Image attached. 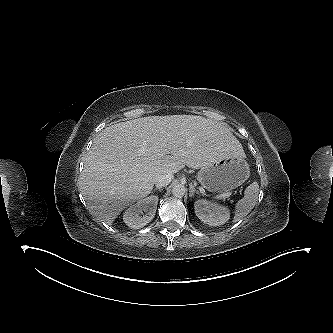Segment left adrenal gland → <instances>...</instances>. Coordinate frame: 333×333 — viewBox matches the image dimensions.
I'll return each mask as SVG.
<instances>
[{"instance_id": "a2214340", "label": "left adrenal gland", "mask_w": 333, "mask_h": 333, "mask_svg": "<svg viewBox=\"0 0 333 333\" xmlns=\"http://www.w3.org/2000/svg\"><path fill=\"white\" fill-rule=\"evenodd\" d=\"M195 193L200 194L199 191L195 189L194 185H190L189 196L192 197Z\"/></svg>"}]
</instances>
